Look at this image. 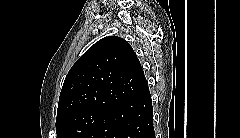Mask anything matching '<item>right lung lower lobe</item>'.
<instances>
[{
    "instance_id": "obj_1",
    "label": "right lung lower lobe",
    "mask_w": 240,
    "mask_h": 138,
    "mask_svg": "<svg viewBox=\"0 0 240 138\" xmlns=\"http://www.w3.org/2000/svg\"><path fill=\"white\" fill-rule=\"evenodd\" d=\"M86 138H155L149 87L107 111Z\"/></svg>"
}]
</instances>
